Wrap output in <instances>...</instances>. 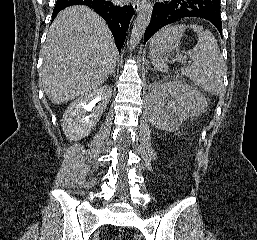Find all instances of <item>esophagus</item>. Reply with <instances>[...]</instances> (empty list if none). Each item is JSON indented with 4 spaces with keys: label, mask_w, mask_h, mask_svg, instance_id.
Returning a JSON list of instances; mask_svg holds the SVG:
<instances>
[{
    "label": "esophagus",
    "mask_w": 257,
    "mask_h": 240,
    "mask_svg": "<svg viewBox=\"0 0 257 240\" xmlns=\"http://www.w3.org/2000/svg\"><path fill=\"white\" fill-rule=\"evenodd\" d=\"M143 5V0H133V8L135 12H138Z\"/></svg>",
    "instance_id": "34e87169"
}]
</instances>
